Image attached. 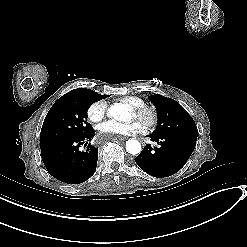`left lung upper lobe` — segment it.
<instances>
[{
  "label": "left lung upper lobe",
  "mask_w": 247,
  "mask_h": 247,
  "mask_svg": "<svg viewBox=\"0 0 247 247\" xmlns=\"http://www.w3.org/2000/svg\"><path fill=\"white\" fill-rule=\"evenodd\" d=\"M158 114V126L152 136L186 137L197 140L196 124L175 100L159 94L149 96Z\"/></svg>",
  "instance_id": "5c2ea615"
}]
</instances>
